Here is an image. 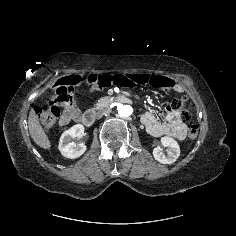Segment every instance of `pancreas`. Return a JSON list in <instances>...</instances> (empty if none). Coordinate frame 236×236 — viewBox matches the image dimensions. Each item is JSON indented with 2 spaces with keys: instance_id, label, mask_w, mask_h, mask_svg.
Here are the masks:
<instances>
[{
  "instance_id": "cf45deb5",
  "label": "pancreas",
  "mask_w": 236,
  "mask_h": 236,
  "mask_svg": "<svg viewBox=\"0 0 236 236\" xmlns=\"http://www.w3.org/2000/svg\"><path fill=\"white\" fill-rule=\"evenodd\" d=\"M109 103V98L108 97H103L98 100V102L95 104V109H100L107 105Z\"/></svg>"
}]
</instances>
